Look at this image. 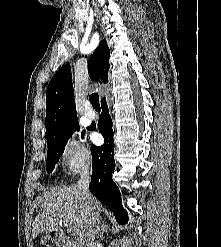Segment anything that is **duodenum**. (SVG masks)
Returning <instances> with one entry per match:
<instances>
[{
  "label": "duodenum",
  "mask_w": 221,
  "mask_h": 247,
  "mask_svg": "<svg viewBox=\"0 0 221 247\" xmlns=\"http://www.w3.org/2000/svg\"><path fill=\"white\" fill-rule=\"evenodd\" d=\"M51 237L56 245L59 247H75V244L66 240L60 231H52Z\"/></svg>",
  "instance_id": "410a0bca"
}]
</instances>
